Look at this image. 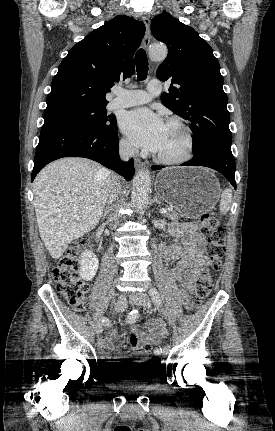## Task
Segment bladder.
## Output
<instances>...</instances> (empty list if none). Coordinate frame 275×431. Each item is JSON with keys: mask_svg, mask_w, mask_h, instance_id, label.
Wrapping results in <instances>:
<instances>
[{"mask_svg": "<svg viewBox=\"0 0 275 431\" xmlns=\"http://www.w3.org/2000/svg\"><path fill=\"white\" fill-rule=\"evenodd\" d=\"M110 365V374L123 382H136L144 383L147 380V376L143 373L142 366L135 363H117L114 361H108Z\"/></svg>", "mask_w": 275, "mask_h": 431, "instance_id": "1", "label": "bladder"}]
</instances>
